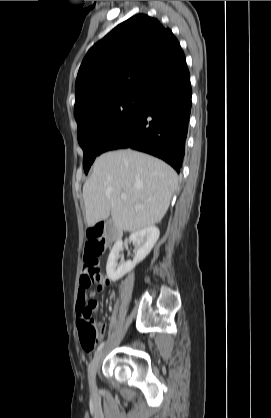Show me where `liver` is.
<instances>
[{"instance_id":"6515ba94","label":"liver","mask_w":271,"mask_h":418,"mask_svg":"<svg viewBox=\"0 0 271 418\" xmlns=\"http://www.w3.org/2000/svg\"><path fill=\"white\" fill-rule=\"evenodd\" d=\"M177 186L175 170L158 158L131 149L104 153L83 185L86 223L93 227L111 215L119 231L153 226L166 214Z\"/></svg>"}]
</instances>
